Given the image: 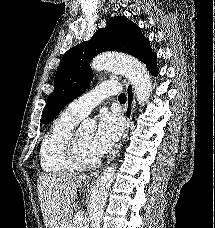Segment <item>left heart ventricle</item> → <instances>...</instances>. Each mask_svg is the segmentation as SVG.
I'll return each instance as SVG.
<instances>
[{
    "label": "left heart ventricle",
    "mask_w": 215,
    "mask_h": 228,
    "mask_svg": "<svg viewBox=\"0 0 215 228\" xmlns=\"http://www.w3.org/2000/svg\"><path fill=\"white\" fill-rule=\"evenodd\" d=\"M93 136H94L93 130H86V129L78 130L79 152L81 157L87 161H92L98 158L92 146Z\"/></svg>",
    "instance_id": "left-heart-ventricle-1"
}]
</instances>
